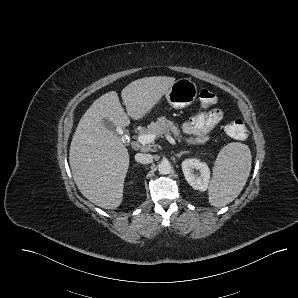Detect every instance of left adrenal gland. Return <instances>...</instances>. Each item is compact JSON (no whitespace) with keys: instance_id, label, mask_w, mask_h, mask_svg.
I'll list each match as a JSON object with an SVG mask.
<instances>
[{"instance_id":"1","label":"left adrenal gland","mask_w":298,"mask_h":298,"mask_svg":"<svg viewBox=\"0 0 298 298\" xmlns=\"http://www.w3.org/2000/svg\"><path fill=\"white\" fill-rule=\"evenodd\" d=\"M186 153H188L187 150H180L178 153H175V155L181 156L182 154H186Z\"/></svg>"}]
</instances>
